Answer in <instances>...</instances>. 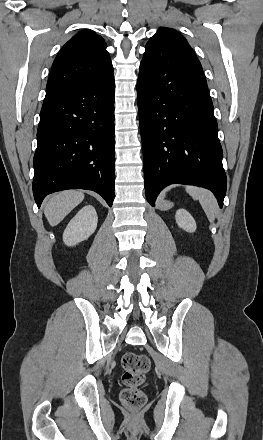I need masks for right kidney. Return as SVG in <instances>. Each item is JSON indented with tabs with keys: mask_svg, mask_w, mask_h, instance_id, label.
<instances>
[{
	"mask_svg": "<svg viewBox=\"0 0 263 440\" xmlns=\"http://www.w3.org/2000/svg\"><path fill=\"white\" fill-rule=\"evenodd\" d=\"M98 217L92 205L83 207L69 222L63 241L67 246H74L90 237L97 228Z\"/></svg>",
	"mask_w": 263,
	"mask_h": 440,
	"instance_id": "obj_1",
	"label": "right kidney"
}]
</instances>
